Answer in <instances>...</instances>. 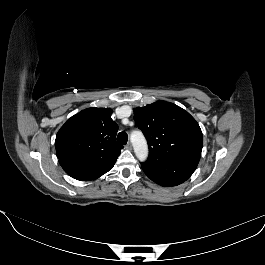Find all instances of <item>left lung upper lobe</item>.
<instances>
[{"label":"left lung upper lobe","instance_id":"obj_1","mask_svg":"<svg viewBox=\"0 0 265 265\" xmlns=\"http://www.w3.org/2000/svg\"><path fill=\"white\" fill-rule=\"evenodd\" d=\"M134 120L149 145V156L144 164L201 156L202 131L196 120L181 107L157 101L135 108Z\"/></svg>","mask_w":265,"mask_h":265}]
</instances>
